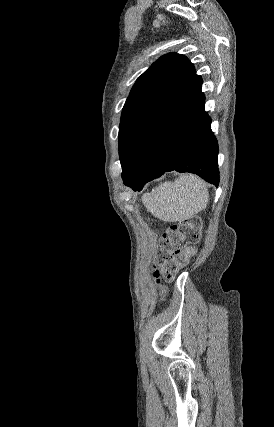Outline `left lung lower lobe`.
<instances>
[{
	"label": "left lung lower lobe",
	"instance_id": "1",
	"mask_svg": "<svg viewBox=\"0 0 274 427\" xmlns=\"http://www.w3.org/2000/svg\"><path fill=\"white\" fill-rule=\"evenodd\" d=\"M202 79L197 76L151 126L136 160L126 175V186L143 185L165 172H191L218 186V144L204 111Z\"/></svg>",
	"mask_w": 274,
	"mask_h": 427
}]
</instances>
